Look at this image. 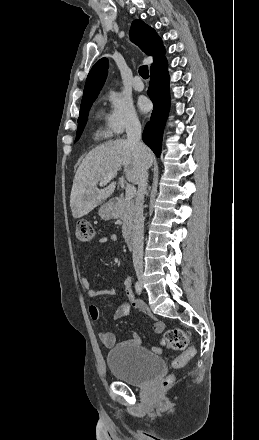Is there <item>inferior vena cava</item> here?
Returning <instances> with one entry per match:
<instances>
[{
  "label": "inferior vena cava",
  "instance_id": "1",
  "mask_svg": "<svg viewBox=\"0 0 259 440\" xmlns=\"http://www.w3.org/2000/svg\"><path fill=\"white\" fill-rule=\"evenodd\" d=\"M127 141L137 149L140 157L141 171L138 179V191L135 200V226L133 229V264L136 271L143 270V233L144 216L143 203L148 182V163L146 157L148 148L141 142V124L138 119H131L126 127Z\"/></svg>",
  "mask_w": 259,
  "mask_h": 440
}]
</instances>
